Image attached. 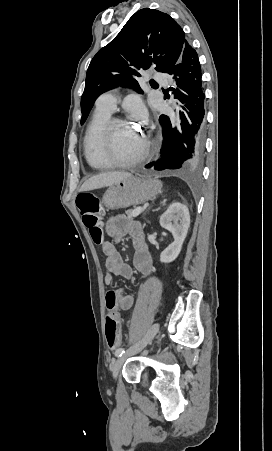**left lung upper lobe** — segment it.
Segmentation results:
<instances>
[{"label":"left lung upper lobe","instance_id":"left-lung-upper-lobe-1","mask_svg":"<svg viewBox=\"0 0 272 451\" xmlns=\"http://www.w3.org/2000/svg\"><path fill=\"white\" fill-rule=\"evenodd\" d=\"M186 43L184 31L168 14L149 8L136 12L87 69L81 124L105 91L120 85L142 92L136 80L141 70L155 66L156 71L167 73Z\"/></svg>","mask_w":272,"mask_h":451}]
</instances>
